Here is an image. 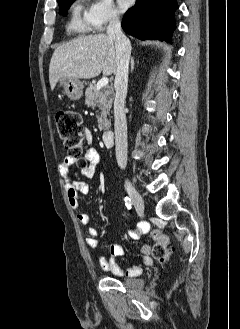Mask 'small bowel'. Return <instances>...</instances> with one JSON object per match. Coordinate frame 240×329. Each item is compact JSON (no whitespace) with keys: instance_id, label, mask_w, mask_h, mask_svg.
<instances>
[{"instance_id":"c3829d8e","label":"small bowel","mask_w":240,"mask_h":329,"mask_svg":"<svg viewBox=\"0 0 240 329\" xmlns=\"http://www.w3.org/2000/svg\"><path fill=\"white\" fill-rule=\"evenodd\" d=\"M86 144L89 145L92 141V135L89 130L85 131ZM75 158L65 157L59 164V173L65 180V193L68 203L71 208L78 209L81 205L80 194H87L90 190L89 185L81 180H73L69 176V169L75 163ZM100 164V156L98 152L89 146L84 151V162L80 166V174L86 178H93L96 175L98 166ZM77 220L81 225H88L90 216L87 213H79ZM147 229L146 223H141L129 230V236L132 240H138L143 232ZM98 230L95 227L88 228V238L86 245L90 249H97L99 241L97 239ZM125 247L123 245H112L107 255L98 253V260L101 268L104 271L110 272L116 276L135 277L141 274L143 267H151L153 261L150 257L151 248L148 244L140 246V253L142 255L139 264L130 266L124 271L116 262L118 256L123 255Z\"/></svg>"}]
</instances>
